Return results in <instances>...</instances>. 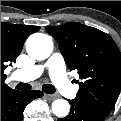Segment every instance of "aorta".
Instances as JSON below:
<instances>
[{"instance_id":"762f6f07","label":"aorta","mask_w":121,"mask_h":121,"mask_svg":"<svg viewBox=\"0 0 121 121\" xmlns=\"http://www.w3.org/2000/svg\"><path fill=\"white\" fill-rule=\"evenodd\" d=\"M26 50L36 60L47 59L53 51V43L49 36L42 33H34L26 41ZM70 105L68 101L57 99L52 103V112L58 117L68 115Z\"/></svg>"}]
</instances>
